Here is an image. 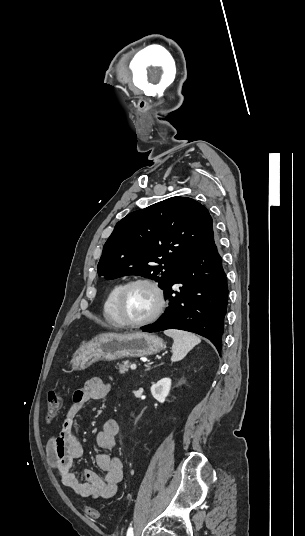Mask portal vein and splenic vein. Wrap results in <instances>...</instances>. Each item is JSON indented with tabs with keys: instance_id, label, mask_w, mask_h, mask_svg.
<instances>
[{
	"instance_id": "portal-vein-and-splenic-vein-1",
	"label": "portal vein and splenic vein",
	"mask_w": 305,
	"mask_h": 536,
	"mask_svg": "<svg viewBox=\"0 0 305 536\" xmlns=\"http://www.w3.org/2000/svg\"><path fill=\"white\" fill-rule=\"evenodd\" d=\"M131 370H136V364H132V366H130Z\"/></svg>"
}]
</instances>
